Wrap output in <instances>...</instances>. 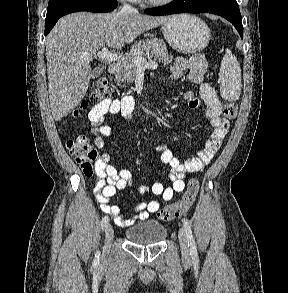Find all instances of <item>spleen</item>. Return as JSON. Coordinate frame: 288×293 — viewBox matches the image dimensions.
<instances>
[{
	"mask_svg": "<svg viewBox=\"0 0 288 293\" xmlns=\"http://www.w3.org/2000/svg\"><path fill=\"white\" fill-rule=\"evenodd\" d=\"M219 80L221 82L220 94L228 101L239 99L241 92V68L235 55L226 49L221 62Z\"/></svg>",
	"mask_w": 288,
	"mask_h": 293,
	"instance_id": "1",
	"label": "spleen"
}]
</instances>
